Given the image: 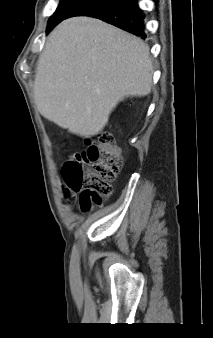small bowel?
<instances>
[{
	"label": "small bowel",
	"mask_w": 213,
	"mask_h": 338,
	"mask_svg": "<svg viewBox=\"0 0 213 338\" xmlns=\"http://www.w3.org/2000/svg\"><path fill=\"white\" fill-rule=\"evenodd\" d=\"M65 197H66V198H69L70 195H69L68 193H65ZM80 200H81V195H80V198H79V202H80Z\"/></svg>",
	"instance_id": "1"
}]
</instances>
